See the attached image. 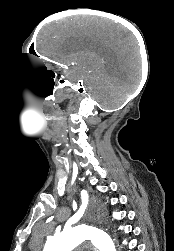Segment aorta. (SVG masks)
<instances>
[{
	"label": "aorta",
	"mask_w": 174,
	"mask_h": 251,
	"mask_svg": "<svg viewBox=\"0 0 174 251\" xmlns=\"http://www.w3.org/2000/svg\"><path fill=\"white\" fill-rule=\"evenodd\" d=\"M100 223L92 217L78 227L65 230L50 239L43 251H72L84 242H91L99 251H116L118 246Z\"/></svg>",
	"instance_id": "obj_1"
}]
</instances>
